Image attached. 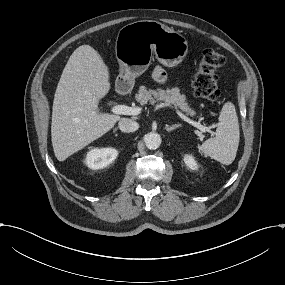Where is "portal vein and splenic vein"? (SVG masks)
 I'll return each instance as SVG.
<instances>
[{
  "mask_svg": "<svg viewBox=\"0 0 285 285\" xmlns=\"http://www.w3.org/2000/svg\"><path fill=\"white\" fill-rule=\"evenodd\" d=\"M139 111H140L139 108H130V107L125 106V105H115V106L111 107V109H110L111 113L118 114V115H120V114H122V115L138 114ZM191 123H192V125L196 126L203 133L209 132L212 137L216 135V132H214L213 130H211L208 127H204L202 125H199V123L193 122V121H191Z\"/></svg>",
  "mask_w": 285,
  "mask_h": 285,
  "instance_id": "1",
  "label": "portal vein and splenic vein"
}]
</instances>
